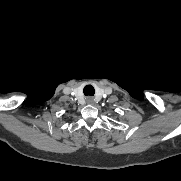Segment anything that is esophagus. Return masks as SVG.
<instances>
[{
    "mask_svg": "<svg viewBox=\"0 0 181 181\" xmlns=\"http://www.w3.org/2000/svg\"><path fill=\"white\" fill-rule=\"evenodd\" d=\"M86 101H87V103L90 104V105H93V104H94V99H93V97H87V98H86Z\"/></svg>",
    "mask_w": 181,
    "mask_h": 181,
    "instance_id": "esophagus-1",
    "label": "esophagus"
}]
</instances>
